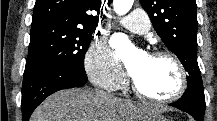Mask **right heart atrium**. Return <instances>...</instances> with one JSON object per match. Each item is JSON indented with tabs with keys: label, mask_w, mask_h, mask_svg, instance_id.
Segmentation results:
<instances>
[{
	"label": "right heart atrium",
	"mask_w": 217,
	"mask_h": 121,
	"mask_svg": "<svg viewBox=\"0 0 217 121\" xmlns=\"http://www.w3.org/2000/svg\"><path fill=\"white\" fill-rule=\"evenodd\" d=\"M84 64L88 77L98 86L114 90L125 80L119 63L104 42L93 45L87 51Z\"/></svg>",
	"instance_id": "d8ad5b80"
}]
</instances>
